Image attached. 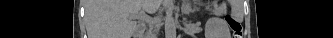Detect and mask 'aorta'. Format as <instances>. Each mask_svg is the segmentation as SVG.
<instances>
[{
	"mask_svg": "<svg viewBox=\"0 0 333 38\" xmlns=\"http://www.w3.org/2000/svg\"><path fill=\"white\" fill-rule=\"evenodd\" d=\"M166 9L165 16V38H176V25L173 17V0H164Z\"/></svg>",
	"mask_w": 333,
	"mask_h": 38,
	"instance_id": "obj_1",
	"label": "aorta"
}]
</instances>
